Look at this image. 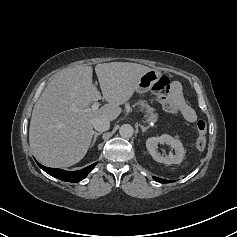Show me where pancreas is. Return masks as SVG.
Listing matches in <instances>:
<instances>
[{"label": "pancreas", "mask_w": 237, "mask_h": 237, "mask_svg": "<svg viewBox=\"0 0 237 237\" xmlns=\"http://www.w3.org/2000/svg\"><path fill=\"white\" fill-rule=\"evenodd\" d=\"M141 111L145 112V117L148 122H156L157 121V113H155V109L149 106L146 101L140 100L135 103Z\"/></svg>", "instance_id": "cf45deb5"}]
</instances>
